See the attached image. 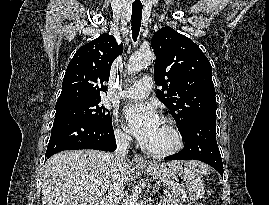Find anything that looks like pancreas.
<instances>
[{"label": "pancreas", "instance_id": "pancreas-1", "mask_svg": "<svg viewBox=\"0 0 269 205\" xmlns=\"http://www.w3.org/2000/svg\"><path fill=\"white\" fill-rule=\"evenodd\" d=\"M160 205H182L174 196H168L161 200Z\"/></svg>", "mask_w": 269, "mask_h": 205}]
</instances>
